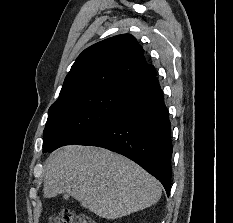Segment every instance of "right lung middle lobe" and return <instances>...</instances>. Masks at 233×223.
Returning a JSON list of instances; mask_svg holds the SVG:
<instances>
[{"instance_id": "obj_1", "label": "right lung middle lobe", "mask_w": 233, "mask_h": 223, "mask_svg": "<svg viewBox=\"0 0 233 223\" xmlns=\"http://www.w3.org/2000/svg\"><path fill=\"white\" fill-rule=\"evenodd\" d=\"M122 90L96 89L59 97L49 108L43 151L83 138L109 122L121 109Z\"/></svg>"}]
</instances>
